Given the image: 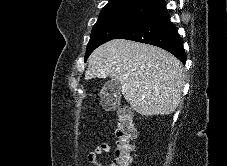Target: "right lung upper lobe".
<instances>
[{
  "mask_svg": "<svg viewBox=\"0 0 227 166\" xmlns=\"http://www.w3.org/2000/svg\"><path fill=\"white\" fill-rule=\"evenodd\" d=\"M121 4H140V5H150L160 8L165 4L164 0H110L109 3L104 7H112Z\"/></svg>",
  "mask_w": 227,
  "mask_h": 166,
  "instance_id": "right-lung-upper-lobe-1",
  "label": "right lung upper lobe"
}]
</instances>
